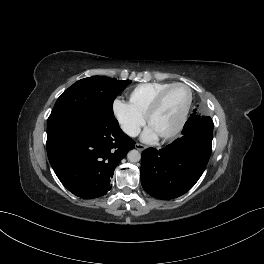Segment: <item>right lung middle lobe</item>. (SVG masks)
Wrapping results in <instances>:
<instances>
[{"label": "right lung middle lobe", "mask_w": 264, "mask_h": 264, "mask_svg": "<svg viewBox=\"0 0 264 264\" xmlns=\"http://www.w3.org/2000/svg\"><path fill=\"white\" fill-rule=\"evenodd\" d=\"M130 83L102 76L77 81L58 98L48 118L47 133L79 116L115 118L113 101Z\"/></svg>", "instance_id": "dd1d6c3e"}]
</instances>
